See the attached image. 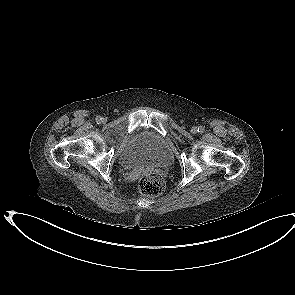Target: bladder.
<instances>
[{
  "label": "bladder",
  "instance_id": "bladder-1",
  "mask_svg": "<svg viewBox=\"0 0 295 295\" xmlns=\"http://www.w3.org/2000/svg\"><path fill=\"white\" fill-rule=\"evenodd\" d=\"M119 162L126 168L138 165L169 167L174 162V153L161 136L143 131L128 141L119 155Z\"/></svg>",
  "mask_w": 295,
  "mask_h": 295
}]
</instances>
